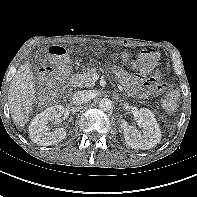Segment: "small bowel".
<instances>
[{"label":"small bowel","instance_id":"small-bowel-1","mask_svg":"<svg viewBox=\"0 0 197 197\" xmlns=\"http://www.w3.org/2000/svg\"><path fill=\"white\" fill-rule=\"evenodd\" d=\"M145 73V71H143ZM122 85L131 93L139 97H149L157 94L161 88V76L159 71L146 77L143 73L128 74L122 70L116 71Z\"/></svg>","mask_w":197,"mask_h":197}]
</instances>
